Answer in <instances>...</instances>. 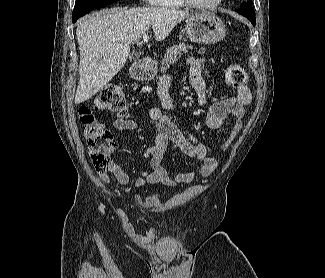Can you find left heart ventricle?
Segmentation results:
<instances>
[{
  "label": "left heart ventricle",
  "instance_id": "obj_1",
  "mask_svg": "<svg viewBox=\"0 0 325 278\" xmlns=\"http://www.w3.org/2000/svg\"><path fill=\"white\" fill-rule=\"evenodd\" d=\"M194 1L197 2V3H200V4H209V3H212L215 0H194Z\"/></svg>",
  "mask_w": 325,
  "mask_h": 278
}]
</instances>
